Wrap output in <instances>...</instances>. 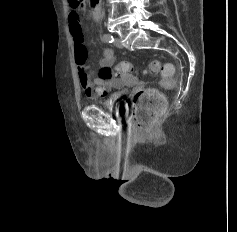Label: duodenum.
Wrapping results in <instances>:
<instances>
[{
  "mask_svg": "<svg viewBox=\"0 0 237 232\" xmlns=\"http://www.w3.org/2000/svg\"><path fill=\"white\" fill-rule=\"evenodd\" d=\"M99 0H91V4L93 6H96L98 4Z\"/></svg>",
  "mask_w": 237,
  "mask_h": 232,
  "instance_id": "410a0bca",
  "label": "duodenum"
}]
</instances>
